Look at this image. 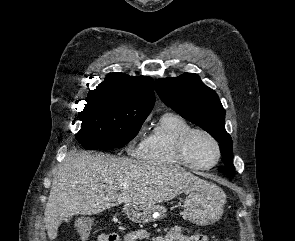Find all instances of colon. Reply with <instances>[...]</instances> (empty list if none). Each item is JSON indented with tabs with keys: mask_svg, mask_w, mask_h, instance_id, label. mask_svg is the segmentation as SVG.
Listing matches in <instances>:
<instances>
[{
	"mask_svg": "<svg viewBox=\"0 0 295 241\" xmlns=\"http://www.w3.org/2000/svg\"><path fill=\"white\" fill-rule=\"evenodd\" d=\"M92 221L87 222V228L83 230V234H88L90 232V227L92 226ZM225 241H233V240H225Z\"/></svg>",
	"mask_w": 295,
	"mask_h": 241,
	"instance_id": "1",
	"label": "colon"
}]
</instances>
